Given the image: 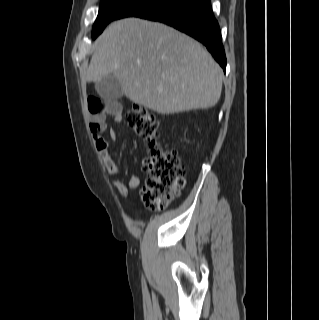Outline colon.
I'll list each match as a JSON object with an SVG mask.
<instances>
[{"label":"colon","mask_w":319,"mask_h":320,"mask_svg":"<svg viewBox=\"0 0 319 320\" xmlns=\"http://www.w3.org/2000/svg\"><path fill=\"white\" fill-rule=\"evenodd\" d=\"M125 121L138 137L150 144L144 161L147 181L141 198L148 209L161 210L179 195L185 182V167L175 152L156 145L159 123L150 111L134 105L125 112Z\"/></svg>","instance_id":"obj_1"}]
</instances>
